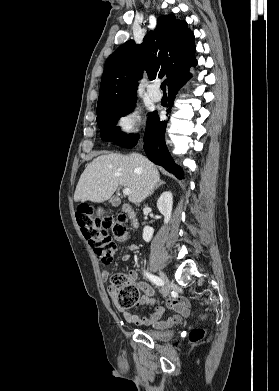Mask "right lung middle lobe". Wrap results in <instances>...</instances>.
I'll return each instance as SVG.
<instances>
[{
	"label": "right lung middle lobe",
	"instance_id": "1",
	"mask_svg": "<svg viewBox=\"0 0 279 391\" xmlns=\"http://www.w3.org/2000/svg\"><path fill=\"white\" fill-rule=\"evenodd\" d=\"M135 103L136 101L97 113L96 120L100 126V133L103 140L117 142L120 139L119 134L122 132L119 130V127H116V123L120 117L133 111Z\"/></svg>",
	"mask_w": 279,
	"mask_h": 391
}]
</instances>
